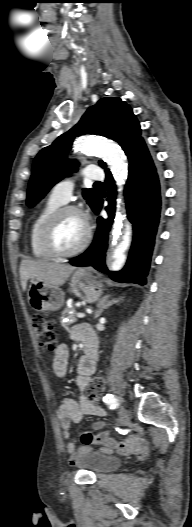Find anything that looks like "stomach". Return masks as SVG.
Returning <instances> with one entry per match:
<instances>
[{
  "instance_id": "1",
  "label": "stomach",
  "mask_w": 192,
  "mask_h": 527,
  "mask_svg": "<svg viewBox=\"0 0 192 527\" xmlns=\"http://www.w3.org/2000/svg\"><path fill=\"white\" fill-rule=\"evenodd\" d=\"M70 290L83 301L93 303L102 295L103 285L93 269L81 268L72 275ZM27 295L29 304L43 312L59 310L64 304V293L60 288L38 280H31Z\"/></svg>"
}]
</instances>
